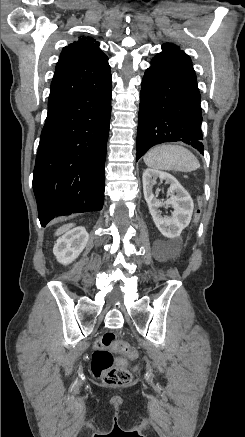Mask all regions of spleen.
<instances>
[{
  "mask_svg": "<svg viewBox=\"0 0 245 437\" xmlns=\"http://www.w3.org/2000/svg\"><path fill=\"white\" fill-rule=\"evenodd\" d=\"M143 159L148 167L157 170L191 172L200 167L198 159L190 150L172 144L153 147Z\"/></svg>",
  "mask_w": 245,
  "mask_h": 437,
  "instance_id": "1",
  "label": "spleen"
}]
</instances>
